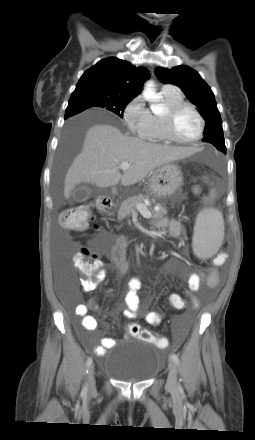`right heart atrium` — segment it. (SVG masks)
<instances>
[{
	"label": "right heart atrium",
	"instance_id": "right-heart-atrium-1",
	"mask_svg": "<svg viewBox=\"0 0 255 440\" xmlns=\"http://www.w3.org/2000/svg\"><path fill=\"white\" fill-rule=\"evenodd\" d=\"M123 119L129 131L142 138L151 130L152 114L141 95L134 97L126 105Z\"/></svg>",
	"mask_w": 255,
	"mask_h": 440
}]
</instances>
